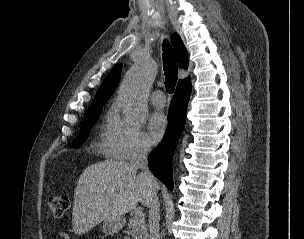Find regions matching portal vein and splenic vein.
<instances>
[{"label": "portal vein and splenic vein", "mask_w": 304, "mask_h": 239, "mask_svg": "<svg viewBox=\"0 0 304 239\" xmlns=\"http://www.w3.org/2000/svg\"><path fill=\"white\" fill-rule=\"evenodd\" d=\"M135 217H136V219H138L140 221L144 220V214H143V212H138Z\"/></svg>", "instance_id": "1"}]
</instances>
